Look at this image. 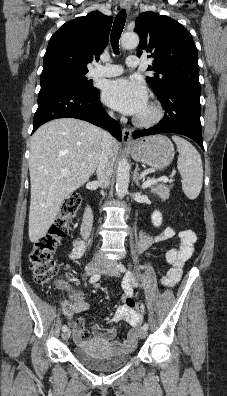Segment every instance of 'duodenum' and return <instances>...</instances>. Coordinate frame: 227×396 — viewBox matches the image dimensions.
<instances>
[{
  "label": "duodenum",
  "instance_id": "1",
  "mask_svg": "<svg viewBox=\"0 0 227 396\" xmlns=\"http://www.w3.org/2000/svg\"><path fill=\"white\" fill-rule=\"evenodd\" d=\"M92 222H93L92 210L89 206H87L84 211L83 221L81 226V234L84 238L88 237L92 227Z\"/></svg>",
  "mask_w": 227,
  "mask_h": 396
}]
</instances>
